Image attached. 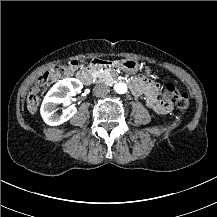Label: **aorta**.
<instances>
[{
  "mask_svg": "<svg viewBox=\"0 0 217 217\" xmlns=\"http://www.w3.org/2000/svg\"><path fill=\"white\" fill-rule=\"evenodd\" d=\"M114 89L119 94H125L128 92V86L125 83H117Z\"/></svg>",
  "mask_w": 217,
  "mask_h": 217,
  "instance_id": "762f6f07",
  "label": "aorta"
}]
</instances>
